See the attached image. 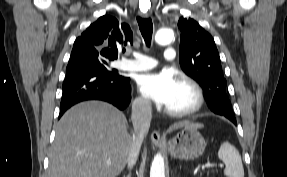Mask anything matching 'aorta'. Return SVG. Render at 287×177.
<instances>
[{
  "instance_id": "1",
  "label": "aorta",
  "mask_w": 287,
  "mask_h": 177,
  "mask_svg": "<svg viewBox=\"0 0 287 177\" xmlns=\"http://www.w3.org/2000/svg\"><path fill=\"white\" fill-rule=\"evenodd\" d=\"M174 33L171 29H160L155 35L156 43L167 45L172 42ZM150 177H165L164 159L161 154H157L151 164Z\"/></svg>"
}]
</instances>
